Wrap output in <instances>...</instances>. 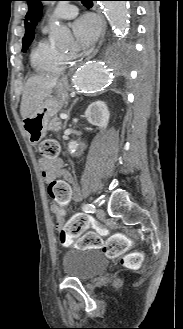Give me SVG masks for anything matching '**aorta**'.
<instances>
[{
    "label": "aorta",
    "mask_w": 183,
    "mask_h": 329,
    "mask_svg": "<svg viewBox=\"0 0 183 329\" xmlns=\"http://www.w3.org/2000/svg\"><path fill=\"white\" fill-rule=\"evenodd\" d=\"M101 6L118 35H123L129 28V2L128 1H103ZM50 37L61 47H67L71 43V34L67 27L61 24H53L50 27ZM108 60L104 62H91L81 66L74 76V85L85 93L103 90L110 79L107 69L112 68ZM78 148V143L71 140L68 143V151L73 154Z\"/></svg>",
    "instance_id": "762f6f07"
}]
</instances>
